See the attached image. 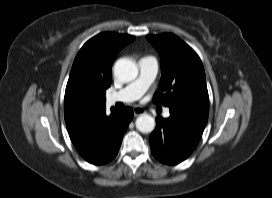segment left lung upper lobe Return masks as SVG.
<instances>
[{"mask_svg":"<svg viewBox=\"0 0 272 198\" xmlns=\"http://www.w3.org/2000/svg\"><path fill=\"white\" fill-rule=\"evenodd\" d=\"M146 38L161 58L162 75L153 102L208 114L209 96L199 56L174 34L147 35Z\"/></svg>","mask_w":272,"mask_h":198,"instance_id":"left-lung-upper-lobe-1","label":"left lung upper lobe"}]
</instances>
